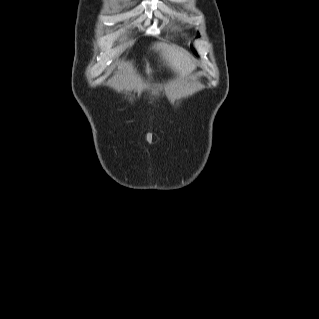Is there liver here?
Returning a JSON list of instances; mask_svg holds the SVG:
<instances>
[{
	"instance_id": "obj_1",
	"label": "liver",
	"mask_w": 319,
	"mask_h": 319,
	"mask_svg": "<svg viewBox=\"0 0 319 319\" xmlns=\"http://www.w3.org/2000/svg\"><path fill=\"white\" fill-rule=\"evenodd\" d=\"M153 48L161 53L162 58L172 70L179 72L182 76L196 68L190 55L179 47L166 43H155Z\"/></svg>"
}]
</instances>
